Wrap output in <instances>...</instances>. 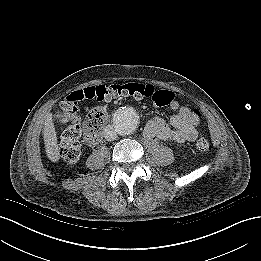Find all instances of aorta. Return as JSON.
<instances>
[{
  "instance_id": "1",
  "label": "aorta",
  "mask_w": 261,
  "mask_h": 261,
  "mask_svg": "<svg viewBox=\"0 0 261 261\" xmlns=\"http://www.w3.org/2000/svg\"><path fill=\"white\" fill-rule=\"evenodd\" d=\"M113 125L120 135H129L139 126L140 116L133 106H122L113 114Z\"/></svg>"
}]
</instances>
